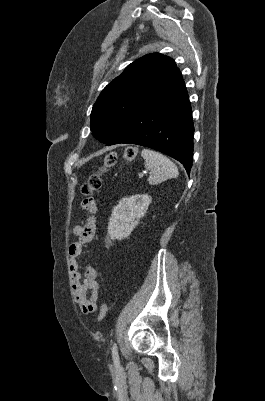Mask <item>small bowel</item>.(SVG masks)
Segmentation results:
<instances>
[{
	"label": "small bowel",
	"mask_w": 265,
	"mask_h": 401,
	"mask_svg": "<svg viewBox=\"0 0 265 401\" xmlns=\"http://www.w3.org/2000/svg\"><path fill=\"white\" fill-rule=\"evenodd\" d=\"M81 207L89 214V217L85 223H77L73 227V233L77 236V241L71 244L69 248L70 273L73 295L78 308L84 314H91L98 308L97 301L100 292V286L97 281L98 272L94 267L87 266L82 277L79 257L82 254L83 247L94 238L98 204L95 198H86L82 201Z\"/></svg>",
	"instance_id": "obj_1"
}]
</instances>
